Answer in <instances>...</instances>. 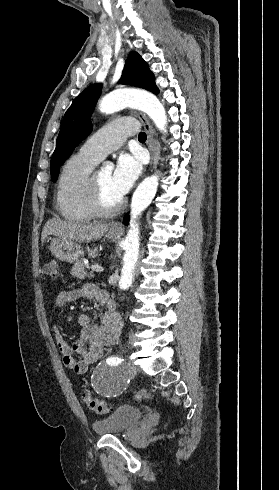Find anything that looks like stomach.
Listing matches in <instances>:
<instances>
[{"label": "stomach", "mask_w": 279, "mask_h": 490, "mask_svg": "<svg viewBox=\"0 0 279 490\" xmlns=\"http://www.w3.org/2000/svg\"><path fill=\"white\" fill-rule=\"evenodd\" d=\"M121 232H111L109 230L107 236L109 240H117ZM49 250L56 258V260H61V262H77L80 256H83L84 252L81 250V246L76 244V242H71V240H62V238H53L49 244Z\"/></svg>", "instance_id": "1"}]
</instances>
